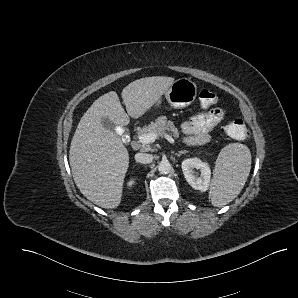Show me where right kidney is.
I'll use <instances>...</instances> for the list:
<instances>
[{
	"instance_id": "obj_1",
	"label": "right kidney",
	"mask_w": 298,
	"mask_h": 298,
	"mask_svg": "<svg viewBox=\"0 0 298 298\" xmlns=\"http://www.w3.org/2000/svg\"><path fill=\"white\" fill-rule=\"evenodd\" d=\"M134 183H135V181L133 179H131L127 182V186L132 187L134 185Z\"/></svg>"
}]
</instances>
